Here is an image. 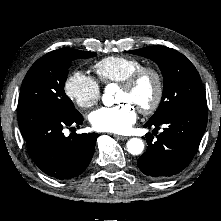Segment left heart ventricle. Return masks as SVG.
Masks as SVG:
<instances>
[{
    "label": "left heart ventricle",
    "instance_id": "1",
    "mask_svg": "<svg viewBox=\"0 0 221 221\" xmlns=\"http://www.w3.org/2000/svg\"><path fill=\"white\" fill-rule=\"evenodd\" d=\"M154 94V78L150 74H146L130 90L120 87L116 100L118 103L128 102L138 109L149 105L153 100Z\"/></svg>",
    "mask_w": 221,
    "mask_h": 221
}]
</instances>
